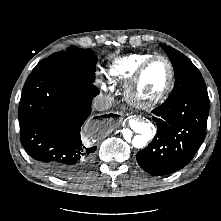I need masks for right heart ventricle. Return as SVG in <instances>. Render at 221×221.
I'll use <instances>...</instances> for the list:
<instances>
[{"mask_svg":"<svg viewBox=\"0 0 221 221\" xmlns=\"http://www.w3.org/2000/svg\"><path fill=\"white\" fill-rule=\"evenodd\" d=\"M153 55L152 53H134L116 58L108 65V77L126 83L139 65Z\"/></svg>","mask_w":221,"mask_h":221,"instance_id":"1","label":"right heart ventricle"}]
</instances>
